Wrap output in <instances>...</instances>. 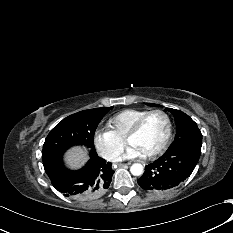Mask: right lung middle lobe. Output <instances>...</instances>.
Masks as SVG:
<instances>
[{
	"label": "right lung middle lobe",
	"mask_w": 233,
	"mask_h": 233,
	"mask_svg": "<svg viewBox=\"0 0 233 233\" xmlns=\"http://www.w3.org/2000/svg\"><path fill=\"white\" fill-rule=\"evenodd\" d=\"M112 107L84 110L64 118L47 136L42 151L44 167L62 158L64 152L75 145H85L95 154L94 133Z\"/></svg>",
	"instance_id": "dd1d6c3e"
}]
</instances>
